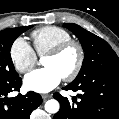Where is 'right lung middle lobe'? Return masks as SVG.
Instances as JSON below:
<instances>
[{
    "instance_id": "obj_1",
    "label": "right lung middle lobe",
    "mask_w": 119,
    "mask_h": 119,
    "mask_svg": "<svg viewBox=\"0 0 119 119\" xmlns=\"http://www.w3.org/2000/svg\"><path fill=\"white\" fill-rule=\"evenodd\" d=\"M31 27L32 25L0 31V79L9 80L18 76L10 56V49L15 39Z\"/></svg>"
}]
</instances>
